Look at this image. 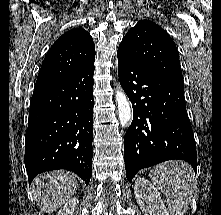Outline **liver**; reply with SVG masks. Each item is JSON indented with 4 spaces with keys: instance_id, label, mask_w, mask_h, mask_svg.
<instances>
[{
    "instance_id": "liver-1",
    "label": "liver",
    "mask_w": 221,
    "mask_h": 215,
    "mask_svg": "<svg viewBox=\"0 0 221 215\" xmlns=\"http://www.w3.org/2000/svg\"><path fill=\"white\" fill-rule=\"evenodd\" d=\"M77 187L73 174L56 170L38 175L32 184V192L41 211L50 214L67 202Z\"/></svg>"
}]
</instances>
